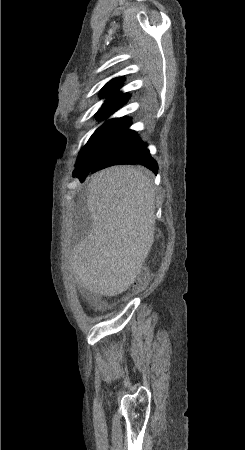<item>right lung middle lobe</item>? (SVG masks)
<instances>
[{
  "instance_id": "right-lung-middle-lobe-1",
  "label": "right lung middle lobe",
  "mask_w": 245,
  "mask_h": 450,
  "mask_svg": "<svg viewBox=\"0 0 245 450\" xmlns=\"http://www.w3.org/2000/svg\"><path fill=\"white\" fill-rule=\"evenodd\" d=\"M116 110L103 108L98 111L97 116L105 119ZM130 124L129 118L122 117L110 119L100 126L90 137L87 149L80 151L73 175L92 168L103 155L126 145L135 134L129 129Z\"/></svg>"
}]
</instances>
